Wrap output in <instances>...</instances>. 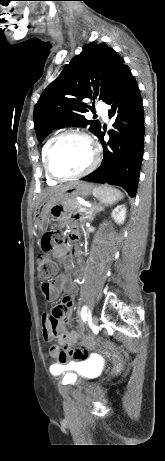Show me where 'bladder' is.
<instances>
[{
	"instance_id": "obj_1",
	"label": "bladder",
	"mask_w": 165,
	"mask_h": 461,
	"mask_svg": "<svg viewBox=\"0 0 165 461\" xmlns=\"http://www.w3.org/2000/svg\"><path fill=\"white\" fill-rule=\"evenodd\" d=\"M99 363L94 358H88L75 365L78 374L84 378L94 377L97 374Z\"/></svg>"
}]
</instances>
